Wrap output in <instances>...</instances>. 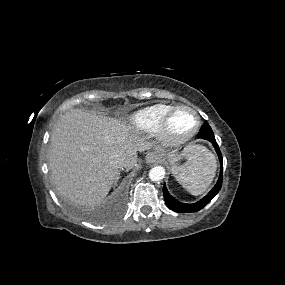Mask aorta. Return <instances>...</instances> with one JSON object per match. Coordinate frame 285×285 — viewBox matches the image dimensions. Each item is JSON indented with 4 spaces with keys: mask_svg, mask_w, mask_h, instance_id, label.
I'll return each instance as SVG.
<instances>
[{
    "mask_svg": "<svg viewBox=\"0 0 285 285\" xmlns=\"http://www.w3.org/2000/svg\"><path fill=\"white\" fill-rule=\"evenodd\" d=\"M165 176V169L162 166H155L149 172V178L152 181H160Z\"/></svg>",
    "mask_w": 285,
    "mask_h": 285,
    "instance_id": "1",
    "label": "aorta"
}]
</instances>
